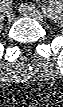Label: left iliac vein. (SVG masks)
I'll return each mask as SVG.
<instances>
[{
    "label": "left iliac vein",
    "instance_id": "obj_1",
    "mask_svg": "<svg viewBox=\"0 0 63 107\" xmlns=\"http://www.w3.org/2000/svg\"><path fill=\"white\" fill-rule=\"evenodd\" d=\"M19 10L24 16L32 17L40 23H45V18L37 9L27 5H22Z\"/></svg>",
    "mask_w": 63,
    "mask_h": 107
}]
</instances>
